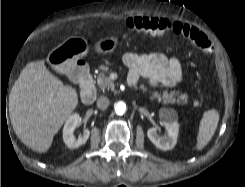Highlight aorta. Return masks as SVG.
<instances>
[{
  "label": "aorta",
  "instance_id": "obj_1",
  "mask_svg": "<svg viewBox=\"0 0 245 187\" xmlns=\"http://www.w3.org/2000/svg\"><path fill=\"white\" fill-rule=\"evenodd\" d=\"M126 111V104L124 102H118L115 105V112L117 115H123Z\"/></svg>",
  "mask_w": 245,
  "mask_h": 187
}]
</instances>
